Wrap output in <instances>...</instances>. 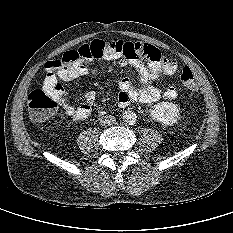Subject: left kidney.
I'll list each match as a JSON object with an SVG mask.
<instances>
[{
  "label": "left kidney",
  "mask_w": 233,
  "mask_h": 233,
  "mask_svg": "<svg viewBox=\"0 0 233 233\" xmlns=\"http://www.w3.org/2000/svg\"><path fill=\"white\" fill-rule=\"evenodd\" d=\"M151 117L164 125H173L179 117L178 106L172 102L157 103L151 110Z\"/></svg>",
  "instance_id": "1"
}]
</instances>
